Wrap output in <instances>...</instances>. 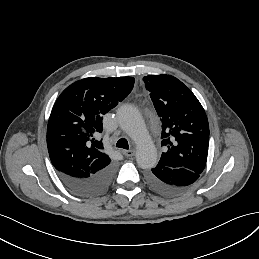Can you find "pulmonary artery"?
I'll use <instances>...</instances> for the list:
<instances>
[{"instance_id": "e3ab8cb5", "label": "pulmonary artery", "mask_w": 259, "mask_h": 259, "mask_svg": "<svg viewBox=\"0 0 259 259\" xmlns=\"http://www.w3.org/2000/svg\"><path fill=\"white\" fill-rule=\"evenodd\" d=\"M121 128L133 138L137 139L144 135L145 126L142 120L135 117H125L120 121Z\"/></svg>"}]
</instances>
